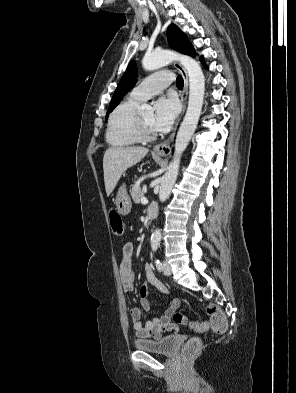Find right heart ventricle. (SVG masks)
<instances>
[{
    "label": "right heart ventricle",
    "mask_w": 296,
    "mask_h": 393,
    "mask_svg": "<svg viewBox=\"0 0 296 393\" xmlns=\"http://www.w3.org/2000/svg\"><path fill=\"white\" fill-rule=\"evenodd\" d=\"M139 103L129 97L113 109L108 119L105 135L109 145L125 148L141 141L136 130Z\"/></svg>",
    "instance_id": "obj_1"
}]
</instances>
